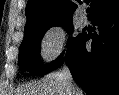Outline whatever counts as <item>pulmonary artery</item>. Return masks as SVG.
Instances as JSON below:
<instances>
[{
  "label": "pulmonary artery",
  "mask_w": 119,
  "mask_h": 95,
  "mask_svg": "<svg viewBox=\"0 0 119 95\" xmlns=\"http://www.w3.org/2000/svg\"><path fill=\"white\" fill-rule=\"evenodd\" d=\"M79 23H80L81 26H85L87 24V18L85 17V15L82 14L79 17Z\"/></svg>",
  "instance_id": "obj_1"
}]
</instances>
